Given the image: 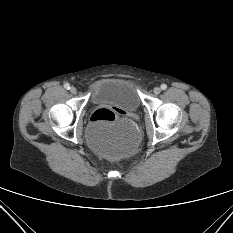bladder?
I'll return each mask as SVG.
<instances>
[{
  "label": "bladder",
  "mask_w": 233,
  "mask_h": 233,
  "mask_svg": "<svg viewBox=\"0 0 233 233\" xmlns=\"http://www.w3.org/2000/svg\"><path fill=\"white\" fill-rule=\"evenodd\" d=\"M94 104H105L135 111L141 105L136 84L127 78H105L95 83L91 92ZM87 144L97 155L107 159H119L134 153L140 134L132 121H122L109 129H88Z\"/></svg>",
  "instance_id": "bladder-1"
}]
</instances>
